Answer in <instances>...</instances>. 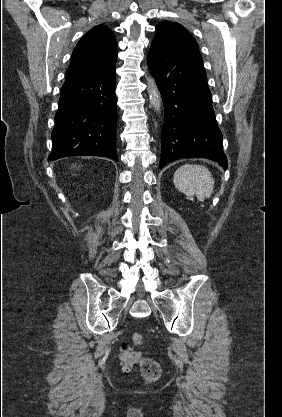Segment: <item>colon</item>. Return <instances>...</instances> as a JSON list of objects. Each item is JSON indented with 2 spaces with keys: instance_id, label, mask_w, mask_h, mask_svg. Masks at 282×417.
Wrapping results in <instances>:
<instances>
[{
  "instance_id": "5ec220e1",
  "label": "colon",
  "mask_w": 282,
  "mask_h": 417,
  "mask_svg": "<svg viewBox=\"0 0 282 417\" xmlns=\"http://www.w3.org/2000/svg\"><path fill=\"white\" fill-rule=\"evenodd\" d=\"M131 338L136 346L140 348L144 346V339L141 333L134 331L131 335ZM136 353V351L133 352L131 350V346L129 345L123 344L121 346L119 359L120 364L122 365V370L125 373H130L134 370V360ZM141 363H143V366L140 367L141 371L139 373L142 375L144 380L155 381L160 377L161 365L159 363H156L151 359H143Z\"/></svg>"
}]
</instances>
